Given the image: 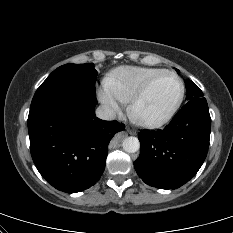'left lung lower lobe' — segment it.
I'll return each instance as SVG.
<instances>
[{
  "mask_svg": "<svg viewBox=\"0 0 233 233\" xmlns=\"http://www.w3.org/2000/svg\"><path fill=\"white\" fill-rule=\"evenodd\" d=\"M210 127L207 101L200 97L188 101L163 130L141 131L140 156L134 162L139 177L166 190L187 183L206 158Z\"/></svg>",
  "mask_w": 233,
  "mask_h": 233,
  "instance_id": "1",
  "label": "left lung lower lobe"
}]
</instances>
